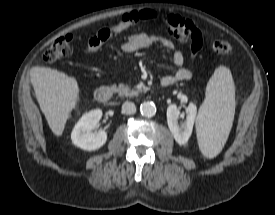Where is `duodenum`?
<instances>
[{
    "label": "duodenum",
    "instance_id": "1",
    "mask_svg": "<svg viewBox=\"0 0 275 215\" xmlns=\"http://www.w3.org/2000/svg\"><path fill=\"white\" fill-rule=\"evenodd\" d=\"M161 85L167 87L171 85V82L166 80H161ZM114 95V90L110 87L99 88L95 93V98L100 103H107L112 99Z\"/></svg>",
    "mask_w": 275,
    "mask_h": 215
}]
</instances>
